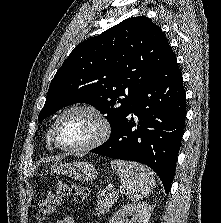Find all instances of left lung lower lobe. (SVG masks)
Here are the masks:
<instances>
[{
  "mask_svg": "<svg viewBox=\"0 0 221 223\" xmlns=\"http://www.w3.org/2000/svg\"><path fill=\"white\" fill-rule=\"evenodd\" d=\"M137 117H130L131 114ZM186 94L175 53L168 54L157 74L137 93L116 131L90 152L148 165L169 194L181 146Z\"/></svg>",
  "mask_w": 221,
  "mask_h": 223,
  "instance_id": "obj_1",
  "label": "left lung lower lobe"
}]
</instances>
